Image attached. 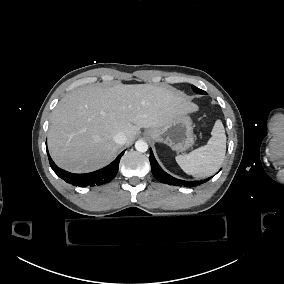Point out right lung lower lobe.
<instances>
[{"label": "right lung lower lobe", "mask_w": 284, "mask_h": 284, "mask_svg": "<svg viewBox=\"0 0 284 284\" xmlns=\"http://www.w3.org/2000/svg\"><path fill=\"white\" fill-rule=\"evenodd\" d=\"M123 153L124 151L112 163L100 170L86 174H74L57 167L47 151L50 166L53 171L67 183L79 187H93L110 182L118 172L119 161Z\"/></svg>", "instance_id": "right-lung-lower-lobe-1"}]
</instances>
